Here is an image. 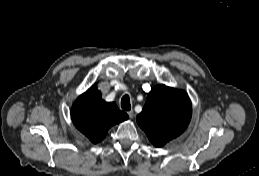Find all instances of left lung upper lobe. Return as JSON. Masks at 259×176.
<instances>
[{
    "label": "left lung upper lobe",
    "instance_id": "obj_1",
    "mask_svg": "<svg viewBox=\"0 0 259 176\" xmlns=\"http://www.w3.org/2000/svg\"><path fill=\"white\" fill-rule=\"evenodd\" d=\"M191 119V101L185 91L165 85L155 86L148 94L138 125L150 142L161 147L179 136Z\"/></svg>",
    "mask_w": 259,
    "mask_h": 176
}]
</instances>
